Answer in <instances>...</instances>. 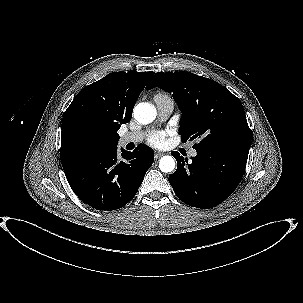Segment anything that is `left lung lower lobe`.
Wrapping results in <instances>:
<instances>
[{"label":"left lung lower lobe","mask_w":303,"mask_h":303,"mask_svg":"<svg viewBox=\"0 0 303 303\" xmlns=\"http://www.w3.org/2000/svg\"><path fill=\"white\" fill-rule=\"evenodd\" d=\"M192 162L172 152L177 170L169 176L175 194L184 203L208 209L223 202L244 174L249 149L202 147Z\"/></svg>","instance_id":"left-lung-lower-lobe-1"}]
</instances>
